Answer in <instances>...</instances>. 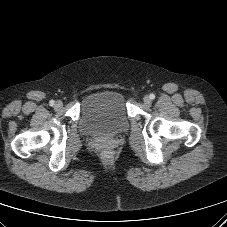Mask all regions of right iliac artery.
<instances>
[{
  "mask_svg": "<svg viewBox=\"0 0 227 227\" xmlns=\"http://www.w3.org/2000/svg\"><path fill=\"white\" fill-rule=\"evenodd\" d=\"M49 104H50V106H54V105H55V101H54V100H51V101L49 102Z\"/></svg>",
  "mask_w": 227,
  "mask_h": 227,
  "instance_id": "82829eb1",
  "label": "right iliac artery"
}]
</instances>
